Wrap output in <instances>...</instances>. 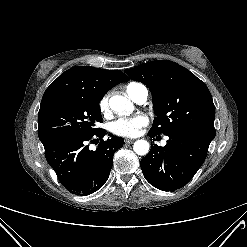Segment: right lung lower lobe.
<instances>
[{"mask_svg":"<svg viewBox=\"0 0 247 247\" xmlns=\"http://www.w3.org/2000/svg\"><path fill=\"white\" fill-rule=\"evenodd\" d=\"M106 130L67 136L44 145L45 157L54 169L60 183L70 192L88 195L99 190L107 181L114 153L123 146L121 137L110 135L102 140ZM101 141L95 151L88 142Z\"/></svg>","mask_w":247,"mask_h":247,"instance_id":"right-lung-lower-lobe-1","label":"right lung lower lobe"}]
</instances>
